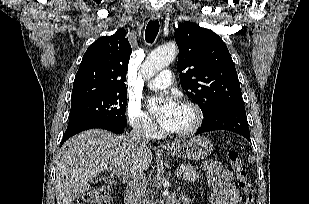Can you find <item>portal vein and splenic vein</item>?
<instances>
[{
	"label": "portal vein and splenic vein",
	"instance_id": "18ae733b",
	"mask_svg": "<svg viewBox=\"0 0 309 204\" xmlns=\"http://www.w3.org/2000/svg\"><path fill=\"white\" fill-rule=\"evenodd\" d=\"M113 174H115L117 177H119V178H123V177H126V173L125 172H123L122 170H120V169H113ZM175 175L176 176H180L181 175V172H180V170L178 171H176L175 172Z\"/></svg>",
	"mask_w": 309,
	"mask_h": 204
}]
</instances>
